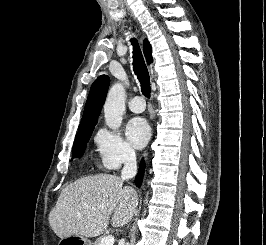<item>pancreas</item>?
<instances>
[{"mask_svg":"<svg viewBox=\"0 0 266 245\" xmlns=\"http://www.w3.org/2000/svg\"><path fill=\"white\" fill-rule=\"evenodd\" d=\"M100 241H101V237L100 239H97V241H95L94 245H100Z\"/></svg>","mask_w":266,"mask_h":245,"instance_id":"1","label":"pancreas"}]
</instances>
